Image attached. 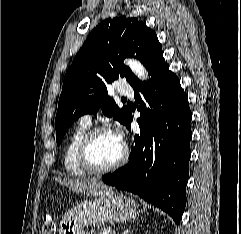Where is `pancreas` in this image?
<instances>
[{
    "instance_id": "1",
    "label": "pancreas",
    "mask_w": 241,
    "mask_h": 234,
    "mask_svg": "<svg viewBox=\"0 0 241 234\" xmlns=\"http://www.w3.org/2000/svg\"><path fill=\"white\" fill-rule=\"evenodd\" d=\"M109 228H102L97 234H104L105 231H108ZM89 234H95L94 232H91ZM110 234H113V233H110Z\"/></svg>"
}]
</instances>
